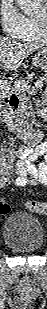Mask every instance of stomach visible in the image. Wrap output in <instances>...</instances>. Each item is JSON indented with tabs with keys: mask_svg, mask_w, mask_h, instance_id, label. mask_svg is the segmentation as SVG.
I'll return each mask as SVG.
<instances>
[{
	"mask_svg": "<svg viewBox=\"0 0 47 309\" xmlns=\"http://www.w3.org/2000/svg\"><path fill=\"white\" fill-rule=\"evenodd\" d=\"M33 64L36 67L47 70V46L41 48L33 57Z\"/></svg>",
	"mask_w": 47,
	"mask_h": 309,
	"instance_id": "obj_1",
	"label": "stomach"
}]
</instances>
